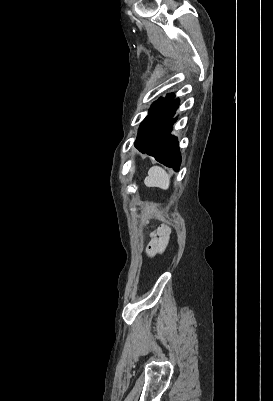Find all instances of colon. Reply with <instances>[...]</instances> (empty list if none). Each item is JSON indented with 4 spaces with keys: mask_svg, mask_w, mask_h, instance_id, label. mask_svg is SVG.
Instances as JSON below:
<instances>
[{
    "mask_svg": "<svg viewBox=\"0 0 273 401\" xmlns=\"http://www.w3.org/2000/svg\"><path fill=\"white\" fill-rule=\"evenodd\" d=\"M159 231H160V232H163V231H164V229H163V228H161Z\"/></svg>",
    "mask_w": 273,
    "mask_h": 401,
    "instance_id": "5ec220e1",
    "label": "colon"
}]
</instances>
